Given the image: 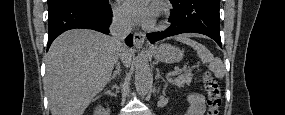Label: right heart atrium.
I'll return each instance as SVG.
<instances>
[{
  "mask_svg": "<svg viewBox=\"0 0 285 115\" xmlns=\"http://www.w3.org/2000/svg\"><path fill=\"white\" fill-rule=\"evenodd\" d=\"M113 13H114V18L118 23L127 25L131 22L130 16L123 9L115 7Z\"/></svg>",
  "mask_w": 285,
  "mask_h": 115,
  "instance_id": "right-heart-atrium-1",
  "label": "right heart atrium"
}]
</instances>
